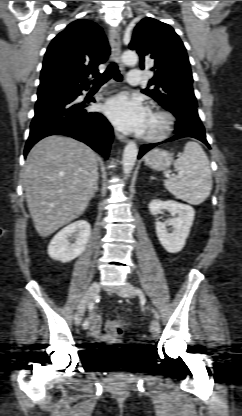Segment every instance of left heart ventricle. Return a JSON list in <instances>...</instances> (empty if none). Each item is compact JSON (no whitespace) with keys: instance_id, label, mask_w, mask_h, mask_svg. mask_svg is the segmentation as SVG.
I'll list each match as a JSON object with an SVG mask.
<instances>
[{"instance_id":"1","label":"left heart ventricle","mask_w":242,"mask_h":416,"mask_svg":"<svg viewBox=\"0 0 242 416\" xmlns=\"http://www.w3.org/2000/svg\"><path fill=\"white\" fill-rule=\"evenodd\" d=\"M157 124H158V118H156L155 116L149 114L148 115V118H147V123H146V127H145V131L144 132L153 129Z\"/></svg>"}]
</instances>
